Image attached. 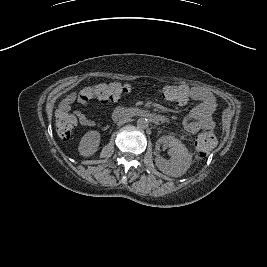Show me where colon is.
<instances>
[{
  "instance_id": "1",
  "label": "colon",
  "mask_w": 267,
  "mask_h": 267,
  "mask_svg": "<svg viewBox=\"0 0 267 267\" xmlns=\"http://www.w3.org/2000/svg\"><path fill=\"white\" fill-rule=\"evenodd\" d=\"M131 89L130 85L118 82L98 83L83 88L79 97L85 101H98L109 103L119 101ZM160 94L165 100L183 103L187 98V92L179 86L166 85L160 88ZM76 120L74 116L67 111H61L56 116V131L60 138L67 139L70 137ZM216 146V138L211 131H202L196 137V150L201 156H207Z\"/></svg>"
}]
</instances>
